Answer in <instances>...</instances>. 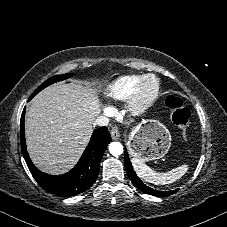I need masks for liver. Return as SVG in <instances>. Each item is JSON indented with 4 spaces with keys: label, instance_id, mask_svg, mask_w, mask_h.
I'll use <instances>...</instances> for the list:
<instances>
[{
    "label": "liver",
    "instance_id": "6515ba94",
    "mask_svg": "<svg viewBox=\"0 0 227 227\" xmlns=\"http://www.w3.org/2000/svg\"><path fill=\"white\" fill-rule=\"evenodd\" d=\"M94 87L56 84L39 92L25 121L26 142L33 163L49 174H63L79 160L101 112Z\"/></svg>",
    "mask_w": 227,
    "mask_h": 227
}]
</instances>
